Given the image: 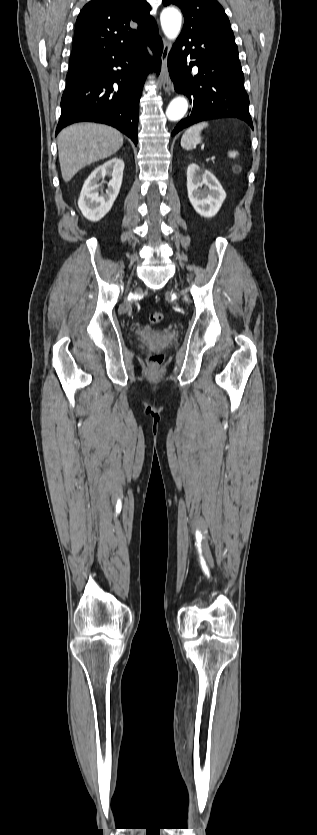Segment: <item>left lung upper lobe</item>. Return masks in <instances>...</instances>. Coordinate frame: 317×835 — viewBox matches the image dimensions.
Returning a JSON list of instances; mask_svg holds the SVG:
<instances>
[{"mask_svg":"<svg viewBox=\"0 0 317 835\" xmlns=\"http://www.w3.org/2000/svg\"><path fill=\"white\" fill-rule=\"evenodd\" d=\"M163 4L177 5L183 12L185 23L179 37L213 34L235 43L229 19L216 0H163Z\"/></svg>","mask_w":317,"mask_h":835,"instance_id":"left-lung-upper-lobe-1","label":"left lung upper lobe"}]
</instances>
